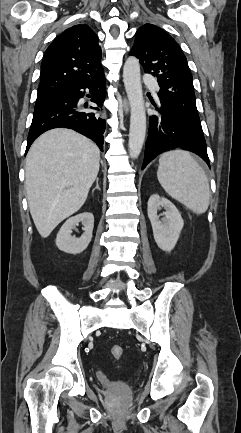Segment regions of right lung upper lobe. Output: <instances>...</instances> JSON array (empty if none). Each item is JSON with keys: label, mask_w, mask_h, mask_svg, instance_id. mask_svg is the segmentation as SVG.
<instances>
[{"label": "right lung upper lobe", "mask_w": 241, "mask_h": 433, "mask_svg": "<svg viewBox=\"0 0 241 433\" xmlns=\"http://www.w3.org/2000/svg\"><path fill=\"white\" fill-rule=\"evenodd\" d=\"M98 37L86 24L72 26L47 48L41 64L38 96L86 83L103 74Z\"/></svg>", "instance_id": "right-lung-upper-lobe-1"}]
</instances>
